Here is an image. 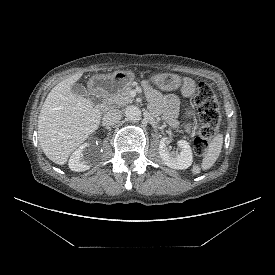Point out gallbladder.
Listing matches in <instances>:
<instances>
[{"label": "gallbladder", "mask_w": 275, "mask_h": 275, "mask_svg": "<svg viewBox=\"0 0 275 275\" xmlns=\"http://www.w3.org/2000/svg\"><path fill=\"white\" fill-rule=\"evenodd\" d=\"M71 91L76 94V95H80V96H87L88 92H87V89L79 84V83H74L72 86H71Z\"/></svg>", "instance_id": "obj_1"}]
</instances>
